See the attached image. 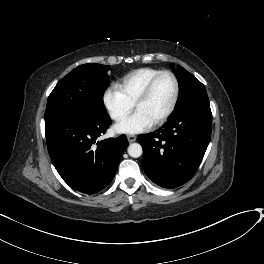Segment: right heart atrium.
Returning a JSON list of instances; mask_svg holds the SVG:
<instances>
[{
    "label": "right heart atrium",
    "mask_w": 264,
    "mask_h": 264,
    "mask_svg": "<svg viewBox=\"0 0 264 264\" xmlns=\"http://www.w3.org/2000/svg\"><path fill=\"white\" fill-rule=\"evenodd\" d=\"M103 103L111 118L115 121L123 120L132 111L134 105L116 86L105 91Z\"/></svg>",
    "instance_id": "right-heart-atrium-1"
}]
</instances>
